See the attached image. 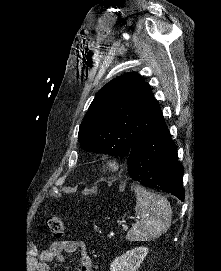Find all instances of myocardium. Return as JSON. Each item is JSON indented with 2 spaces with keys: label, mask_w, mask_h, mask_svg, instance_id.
<instances>
[{
  "label": "myocardium",
  "mask_w": 221,
  "mask_h": 271,
  "mask_svg": "<svg viewBox=\"0 0 221 271\" xmlns=\"http://www.w3.org/2000/svg\"><path fill=\"white\" fill-rule=\"evenodd\" d=\"M115 169H116L115 165H105V169L102 171H104L105 173L110 174V175H116L120 171H122V170H115Z\"/></svg>",
  "instance_id": "obj_1"
}]
</instances>
